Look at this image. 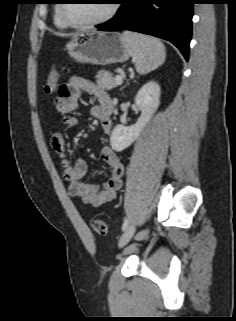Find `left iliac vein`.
<instances>
[{
  "label": "left iliac vein",
  "mask_w": 236,
  "mask_h": 321,
  "mask_svg": "<svg viewBox=\"0 0 236 321\" xmlns=\"http://www.w3.org/2000/svg\"><path fill=\"white\" fill-rule=\"evenodd\" d=\"M134 232H135V225L134 224L129 225L119 239V246L120 247L125 246L133 237Z\"/></svg>",
  "instance_id": "left-iliac-vein-1"
}]
</instances>
